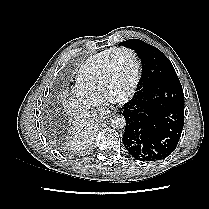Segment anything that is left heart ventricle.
<instances>
[{
  "label": "left heart ventricle",
  "mask_w": 209,
  "mask_h": 209,
  "mask_svg": "<svg viewBox=\"0 0 209 209\" xmlns=\"http://www.w3.org/2000/svg\"><path fill=\"white\" fill-rule=\"evenodd\" d=\"M135 71V64L131 54H117L113 59L110 94L114 97L125 95L133 84Z\"/></svg>",
  "instance_id": "1"
}]
</instances>
